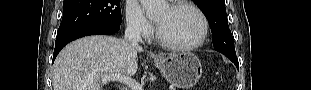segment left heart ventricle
Masks as SVG:
<instances>
[{
	"label": "left heart ventricle",
	"mask_w": 311,
	"mask_h": 90,
	"mask_svg": "<svg viewBox=\"0 0 311 90\" xmlns=\"http://www.w3.org/2000/svg\"><path fill=\"white\" fill-rule=\"evenodd\" d=\"M162 37L173 44L187 45L201 35L202 23L198 15L188 8L171 11L163 9L155 18Z\"/></svg>",
	"instance_id": "b2bd125f"
}]
</instances>
